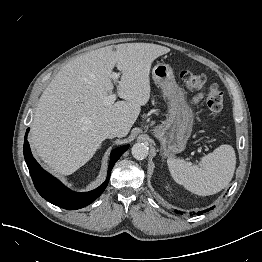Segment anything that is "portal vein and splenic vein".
I'll list each match as a JSON object with an SVG mask.
<instances>
[{
    "label": "portal vein and splenic vein",
    "mask_w": 262,
    "mask_h": 262,
    "mask_svg": "<svg viewBox=\"0 0 262 262\" xmlns=\"http://www.w3.org/2000/svg\"><path fill=\"white\" fill-rule=\"evenodd\" d=\"M118 77H119V73H113L112 75V79L115 82H118ZM116 100V95L115 94H111L109 96H106L105 99H104V103L106 105H111L115 102Z\"/></svg>",
    "instance_id": "18ae733b"
}]
</instances>
